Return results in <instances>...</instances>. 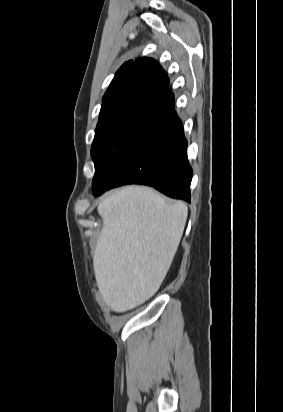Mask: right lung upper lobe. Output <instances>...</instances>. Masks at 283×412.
Here are the masks:
<instances>
[{"mask_svg":"<svg viewBox=\"0 0 283 412\" xmlns=\"http://www.w3.org/2000/svg\"><path fill=\"white\" fill-rule=\"evenodd\" d=\"M164 74L150 58L124 63L103 97L99 120L122 114L161 112L165 116L174 105V95Z\"/></svg>","mask_w":283,"mask_h":412,"instance_id":"right-lung-upper-lobe-1","label":"right lung upper lobe"}]
</instances>
